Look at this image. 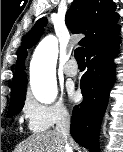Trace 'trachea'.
Returning a JSON list of instances; mask_svg holds the SVG:
<instances>
[{
	"label": "trachea",
	"instance_id": "1",
	"mask_svg": "<svg viewBox=\"0 0 123 152\" xmlns=\"http://www.w3.org/2000/svg\"><path fill=\"white\" fill-rule=\"evenodd\" d=\"M75 59L78 64H85V56H84V48L83 47H78L75 50Z\"/></svg>",
	"mask_w": 123,
	"mask_h": 152
}]
</instances>
